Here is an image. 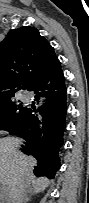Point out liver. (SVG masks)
Returning a JSON list of instances; mask_svg holds the SVG:
<instances>
[{
	"label": "liver",
	"instance_id": "liver-1",
	"mask_svg": "<svg viewBox=\"0 0 89 203\" xmlns=\"http://www.w3.org/2000/svg\"><path fill=\"white\" fill-rule=\"evenodd\" d=\"M20 143L18 138L0 141V193L2 197H8L10 203H17L22 191L25 194L30 189L37 194L49 185L48 179L34 176L32 171L37 161L17 150Z\"/></svg>",
	"mask_w": 89,
	"mask_h": 203
}]
</instances>
